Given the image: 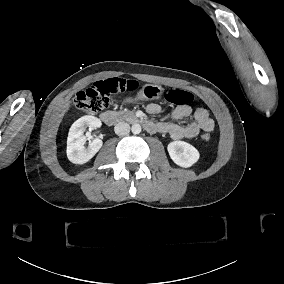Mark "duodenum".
I'll list each match as a JSON object with an SVG mask.
<instances>
[{"instance_id": "1", "label": "duodenum", "mask_w": 284, "mask_h": 284, "mask_svg": "<svg viewBox=\"0 0 284 284\" xmlns=\"http://www.w3.org/2000/svg\"><path fill=\"white\" fill-rule=\"evenodd\" d=\"M100 120L107 125L113 126L115 125L119 120L120 116L117 115L113 111H105L100 114ZM132 123L141 125L145 129L148 127L149 122L147 120H144L142 117L139 116H126Z\"/></svg>"}]
</instances>
